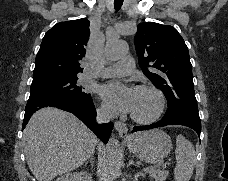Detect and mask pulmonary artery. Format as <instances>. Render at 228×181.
Returning <instances> with one entry per match:
<instances>
[{"instance_id": "1", "label": "pulmonary artery", "mask_w": 228, "mask_h": 181, "mask_svg": "<svg viewBox=\"0 0 228 181\" xmlns=\"http://www.w3.org/2000/svg\"><path fill=\"white\" fill-rule=\"evenodd\" d=\"M112 41V40H108ZM107 46V44H106ZM123 65H112L111 68L105 71L106 74H111L117 72V70H124V71H135V62H131V57L122 58Z\"/></svg>"}]
</instances>
